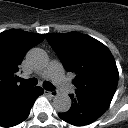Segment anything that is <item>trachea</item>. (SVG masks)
Instances as JSON below:
<instances>
[{"mask_svg":"<svg viewBox=\"0 0 128 128\" xmlns=\"http://www.w3.org/2000/svg\"><path fill=\"white\" fill-rule=\"evenodd\" d=\"M18 81L21 82L25 86H35L37 84V80L35 78H30V79H22L18 78ZM43 87L47 91H54L55 87L52 83L50 82H44Z\"/></svg>","mask_w":128,"mask_h":128,"instance_id":"1","label":"trachea"}]
</instances>
